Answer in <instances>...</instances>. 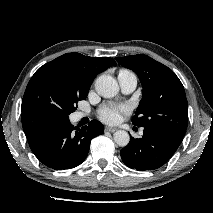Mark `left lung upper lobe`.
<instances>
[{
	"instance_id": "5c2ea615",
	"label": "left lung upper lobe",
	"mask_w": 213,
	"mask_h": 213,
	"mask_svg": "<svg viewBox=\"0 0 213 213\" xmlns=\"http://www.w3.org/2000/svg\"><path fill=\"white\" fill-rule=\"evenodd\" d=\"M132 69L143 87V97L132 122L136 126L160 128L185 134L188 104L184 87L167 66L143 54L116 57Z\"/></svg>"
}]
</instances>
